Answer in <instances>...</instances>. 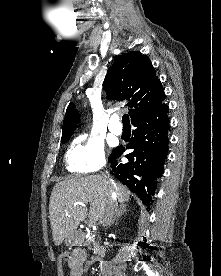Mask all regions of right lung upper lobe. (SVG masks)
Returning a JSON list of instances; mask_svg holds the SVG:
<instances>
[{
	"label": "right lung upper lobe",
	"instance_id": "1",
	"mask_svg": "<svg viewBox=\"0 0 221 276\" xmlns=\"http://www.w3.org/2000/svg\"><path fill=\"white\" fill-rule=\"evenodd\" d=\"M103 88L110 100H128L131 122L158 109L165 100L162 84L150 59L138 51L117 56L108 69ZM80 122L75 105L67 107L62 141L68 140Z\"/></svg>",
	"mask_w": 221,
	"mask_h": 276
}]
</instances>
